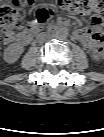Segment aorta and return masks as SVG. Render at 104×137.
Returning a JSON list of instances; mask_svg holds the SVG:
<instances>
[{
    "mask_svg": "<svg viewBox=\"0 0 104 137\" xmlns=\"http://www.w3.org/2000/svg\"><path fill=\"white\" fill-rule=\"evenodd\" d=\"M65 35H66V34H65V31H64V30H61V29H60V30H57V31H56V34H55L56 38H57V39H60V40H61V39H64V38H65Z\"/></svg>",
    "mask_w": 104,
    "mask_h": 137,
    "instance_id": "1",
    "label": "aorta"
}]
</instances>
